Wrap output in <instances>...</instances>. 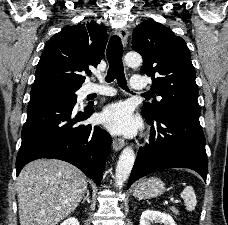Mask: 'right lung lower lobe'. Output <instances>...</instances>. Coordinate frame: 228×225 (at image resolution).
Masks as SVG:
<instances>
[{
	"instance_id": "98d812e1",
	"label": "right lung lower lobe",
	"mask_w": 228,
	"mask_h": 225,
	"mask_svg": "<svg viewBox=\"0 0 228 225\" xmlns=\"http://www.w3.org/2000/svg\"><path fill=\"white\" fill-rule=\"evenodd\" d=\"M75 103L54 99L28 105L16 158L17 175L30 161L52 158L75 165L100 184L111 137L99 126L79 125L94 109L88 106L77 111Z\"/></svg>"
}]
</instances>
